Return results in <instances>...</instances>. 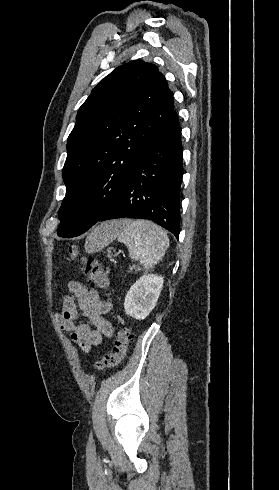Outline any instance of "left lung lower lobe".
Segmentation results:
<instances>
[{"mask_svg": "<svg viewBox=\"0 0 279 490\" xmlns=\"http://www.w3.org/2000/svg\"><path fill=\"white\" fill-rule=\"evenodd\" d=\"M182 153L181 129L173 111L145 143L112 208L99 221L125 217L148 219L178 239Z\"/></svg>", "mask_w": 279, "mask_h": 490, "instance_id": "obj_1", "label": "left lung lower lobe"}]
</instances>
